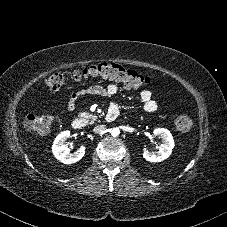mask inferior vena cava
Masks as SVG:
<instances>
[{
    "mask_svg": "<svg viewBox=\"0 0 227 227\" xmlns=\"http://www.w3.org/2000/svg\"><path fill=\"white\" fill-rule=\"evenodd\" d=\"M106 129V126L105 125H97L94 127L93 131L95 133H101L103 132L104 130Z\"/></svg>",
    "mask_w": 227,
    "mask_h": 227,
    "instance_id": "1",
    "label": "inferior vena cava"
}]
</instances>
